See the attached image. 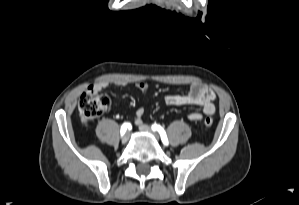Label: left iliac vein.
<instances>
[{
	"label": "left iliac vein",
	"mask_w": 299,
	"mask_h": 205,
	"mask_svg": "<svg viewBox=\"0 0 299 205\" xmlns=\"http://www.w3.org/2000/svg\"><path fill=\"white\" fill-rule=\"evenodd\" d=\"M139 130L142 131V132H147V133H151L153 134L157 139H158V136L152 131V129L146 125V124H142L139 126Z\"/></svg>",
	"instance_id": "obj_1"
}]
</instances>
